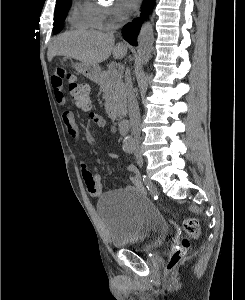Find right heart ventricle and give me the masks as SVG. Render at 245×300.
<instances>
[{
	"label": "right heart ventricle",
	"instance_id": "obj_1",
	"mask_svg": "<svg viewBox=\"0 0 245 300\" xmlns=\"http://www.w3.org/2000/svg\"><path fill=\"white\" fill-rule=\"evenodd\" d=\"M70 24L75 28L93 29L98 27L95 10L88 1L76 2L69 17Z\"/></svg>",
	"mask_w": 245,
	"mask_h": 300
}]
</instances>
